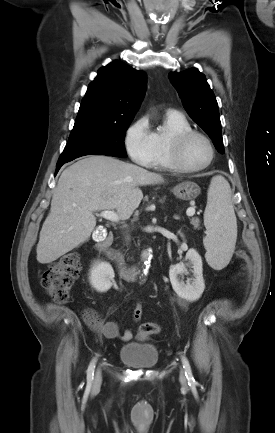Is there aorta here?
Listing matches in <instances>:
<instances>
[{
  "label": "aorta",
  "mask_w": 275,
  "mask_h": 433,
  "mask_svg": "<svg viewBox=\"0 0 275 433\" xmlns=\"http://www.w3.org/2000/svg\"><path fill=\"white\" fill-rule=\"evenodd\" d=\"M147 257H148V253H147V252H143V254H142V258H143V259H147Z\"/></svg>",
  "instance_id": "obj_1"
}]
</instances>
